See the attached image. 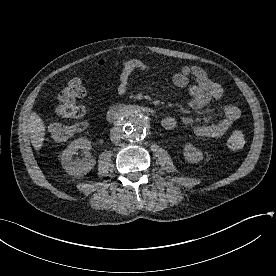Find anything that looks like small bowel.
<instances>
[{"label": "small bowel", "instance_id": "c3829d8e", "mask_svg": "<svg viewBox=\"0 0 276 276\" xmlns=\"http://www.w3.org/2000/svg\"><path fill=\"white\" fill-rule=\"evenodd\" d=\"M103 65L99 60L96 66ZM150 67L139 59H132L123 68L116 86V94L123 95L129 85L131 76L136 69L146 70ZM172 81L176 87L187 88L190 96L189 106L194 111H200L211 101H219L223 96L220 84L213 81L207 72L198 66L183 65L176 72ZM241 117V111L234 105H220L213 115L209 116H185L181 118L184 125L191 126L197 136L221 137ZM177 119L168 116L162 120V126L171 130L177 126Z\"/></svg>", "mask_w": 276, "mask_h": 276}]
</instances>
